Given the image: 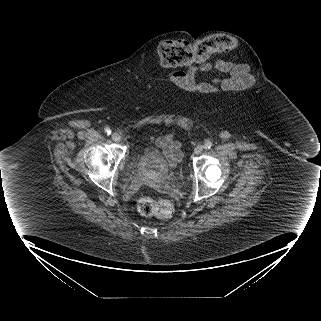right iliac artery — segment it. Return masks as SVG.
<instances>
[{
    "mask_svg": "<svg viewBox=\"0 0 321 321\" xmlns=\"http://www.w3.org/2000/svg\"><path fill=\"white\" fill-rule=\"evenodd\" d=\"M105 133H106L107 135H110V134L112 133V131H111V129H110L109 127H106V128H105Z\"/></svg>",
    "mask_w": 321,
    "mask_h": 321,
    "instance_id": "right-iliac-artery-1",
    "label": "right iliac artery"
}]
</instances>
